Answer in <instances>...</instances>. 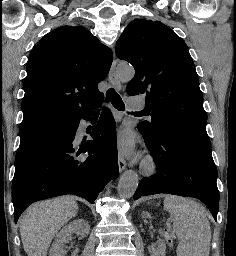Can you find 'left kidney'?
<instances>
[{
	"instance_id": "left-kidney-1",
	"label": "left kidney",
	"mask_w": 236,
	"mask_h": 256,
	"mask_svg": "<svg viewBox=\"0 0 236 256\" xmlns=\"http://www.w3.org/2000/svg\"><path fill=\"white\" fill-rule=\"evenodd\" d=\"M142 216L143 218H150V214H148V212H143ZM148 250L150 252V256H165L166 244L164 240H158L156 246H148Z\"/></svg>"
}]
</instances>
